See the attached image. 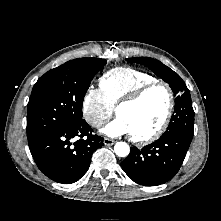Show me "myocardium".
<instances>
[{
    "mask_svg": "<svg viewBox=\"0 0 221 221\" xmlns=\"http://www.w3.org/2000/svg\"><path fill=\"white\" fill-rule=\"evenodd\" d=\"M156 86H162L167 91V94H168L167 111L160 125L152 133L142 136V137H136V136L131 135V140L136 144L144 145V144H149L151 142L156 141L158 138H160V136L164 133V131L168 127V124L173 115L174 106H175V95H174L172 88L165 81L155 80V81L142 85L141 87L136 89L134 92L124 97L122 100H120L117 103L115 107V113L116 115H118V112L122 107L138 103L150 89Z\"/></svg>",
    "mask_w": 221,
    "mask_h": 221,
    "instance_id": "1",
    "label": "myocardium"
}]
</instances>
